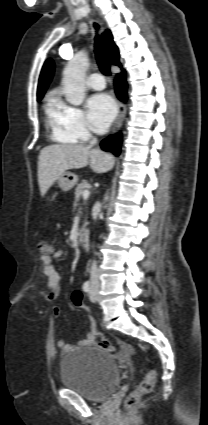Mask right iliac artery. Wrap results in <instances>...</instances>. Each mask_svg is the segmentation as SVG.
I'll return each mask as SVG.
<instances>
[{"instance_id": "1", "label": "right iliac artery", "mask_w": 208, "mask_h": 425, "mask_svg": "<svg viewBox=\"0 0 208 425\" xmlns=\"http://www.w3.org/2000/svg\"><path fill=\"white\" fill-rule=\"evenodd\" d=\"M83 290H84L85 292H89V291H90V282H89V281H86V282L83 284Z\"/></svg>"}]
</instances>
